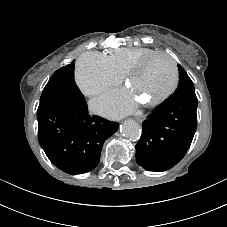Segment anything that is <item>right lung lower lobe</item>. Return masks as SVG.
<instances>
[{"mask_svg": "<svg viewBox=\"0 0 227 227\" xmlns=\"http://www.w3.org/2000/svg\"><path fill=\"white\" fill-rule=\"evenodd\" d=\"M38 141L49 160L68 174L94 169L104 141L119 124L88 115L84 99L46 101L38 107Z\"/></svg>", "mask_w": 227, "mask_h": 227, "instance_id": "1", "label": "right lung lower lobe"}]
</instances>
